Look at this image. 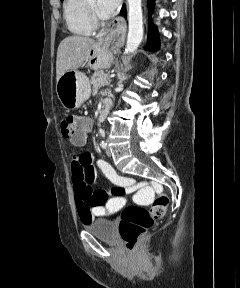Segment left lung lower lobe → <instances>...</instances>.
<instances>
[{
	"mask_svg": "<svg viewBox=\"0 0 240 288\" xmlns=\"http://www.w3.org/2000/svg\"><path fill=\"white\" fill-rule=\"evenodd\" d=\"M149 7L152 8L154 0H149ZM121 14L126 16V8L125 6L122 7ZM148 39H149V45L151 46H146L145 49L149 51H156L159 48V40H158V32L155 26L150 25L149 26V34H148Z\"/></svg>",
	"mask_w": 240,
	"mask_h": 288,
	"instance_id": "0a47b994",
	"label": "left lung lower lobe"
}]
</instances>
